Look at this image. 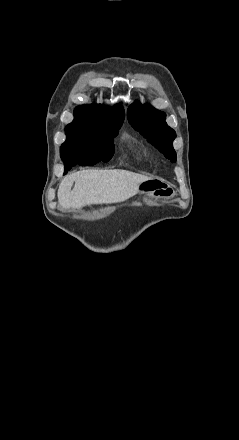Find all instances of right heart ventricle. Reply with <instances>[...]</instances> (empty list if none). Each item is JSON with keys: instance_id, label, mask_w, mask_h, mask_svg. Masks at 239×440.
Returning <instances> with one entry per match:
<instances>
[{"instance_id": "right-heart-ventricle-1", "label": "right heart ventricle", "mask_w": 239, "mask_h": 440, "mask_svg": "<svg viewBox=\"0 0 239 440\" xmlns=\"http://www.w3.org/2000/svg\"><path fill=\"white\" fill-rule=\"evenodd\" d=\"M131 148L134 151L135 155L137 156V159L139 161H143L144 158H143V154H142L141 150L137 146H135V145H132Z\"/></svg>"}]
</instances>
